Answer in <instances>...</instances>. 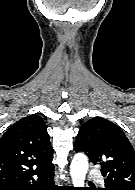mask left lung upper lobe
Returning <instances> with one entry per match:
<instances>
[{
  "label": "left lung upper lobe",
  "mask_w": 135,
  "mask_h": 190,
  "mask_svg": "<svg viewBox=\"0 0 135 190\" xmlns=\"http://www.w3.org/2000/svg\"><path fill=\"white\" fill-rule=\"evenodd\" d=\"M74 149L85 152L94 164H101L103 190H135V151L116 124L101 117L86 121Z\"/></svg>",
  "instance_id": "1"
}]
</instances>
